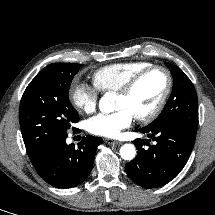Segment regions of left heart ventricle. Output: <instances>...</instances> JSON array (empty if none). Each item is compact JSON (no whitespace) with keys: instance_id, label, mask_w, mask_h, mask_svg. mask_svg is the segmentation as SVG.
Masks as SVG:
<instances>
[{"instance_id":"left-heart-ventricle-1","label":"left heart ventricle","mask_w":215,"mask_h":215,"mask_svg":"<svg viewBox=\"0 0 215 215\" xmlns=\"http://www.w3.org/2000/svg\"><path fill=\"white\" fill-rule=\"evenodd\" d=\"M166 87V77L161 71L147 75L128 96L117 95L116 109H128L134 117L151 111L160 100Z\"/></svg>"}]
</instances>
